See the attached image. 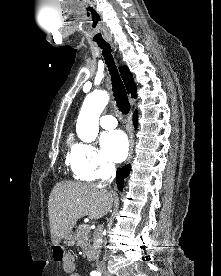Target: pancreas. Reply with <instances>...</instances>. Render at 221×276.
<instances>
[{"label": "pancreas", "instance_id": "obj_1", "mask_svg": "<svg viewBox=\"0 0 221 276\" xmlns=\"http://www.w3.org/2000/svg\"><path fill=\"white\" fill-rule=\"evenodd\" d=\"M90 227L88 225H79L76 230L75 239L77 241V245L80 247H84L86 250L90 246Z\"/></svg>", "mask_w": 221, "mask_h": 276}]
</instances>
